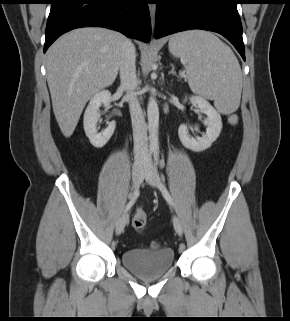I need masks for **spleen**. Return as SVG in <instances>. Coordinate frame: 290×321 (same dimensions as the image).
I'll return each mask as SVG.
<instances>
[{"label":"spleen","mask_w":290,"mask_h":321,"mask_svg":"<svg viewBox=\"0 0 290 321\" xmlns=\"http://www.w3.org/2000/svg\"><path fill=\"white\" fill-rule=\"evenodd\" d=\"M170 52L186 65L193 93L214 100L223 114L235 112L241 99L242 73L233 51L207 31H186L169 41Z\"/></svg>","instance_id":"spleen-1"}]
</instances>
